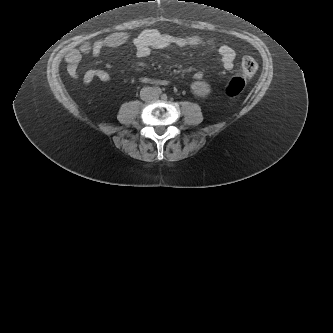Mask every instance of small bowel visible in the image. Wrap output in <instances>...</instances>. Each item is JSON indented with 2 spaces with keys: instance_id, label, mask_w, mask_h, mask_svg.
Here are the masks:
<instances>
[{
  "instance_id": "small-bowel-1",
  "label": "small bowel",
  "mask_w": 333,
  "mask_h": 333,
  "mask_svg": "<svg viewBox=\"0 0 333 333\" xmlns=\"http://www.w3.org/2000/svg\"><path fill=\"white\" fill-rule=\"evenodd\" d=\"M127 41L126 34L122 32L112 33L101 41L95 42L92 45H83L78 48H70L65 54V60L67 63V72L73 79L79 78L78 67L82 60V54L90 52L94 57H99L102 53L103 48H115ZM196 44L195 38L187 36H163L153 33H145L137 37L134 41L135 52L138 58H146L150 55L153 48H169L178 47L181 49L191 48ZM218 53L221 58L223 67L226 70H232L234 67V60L236 58L235 51L227 46L221 45L218 48ZM203 78L202 72H196L193 75V79L197 82ZM94 79H98L103 83H110L112 81L111 75L102 69H89L87 70L82 81L84 85H89ZM141 82H147V79L140 78ZM168 81H163V84H168ZM203 88V86H202Z\"/></svg>"
}]
</instances>
